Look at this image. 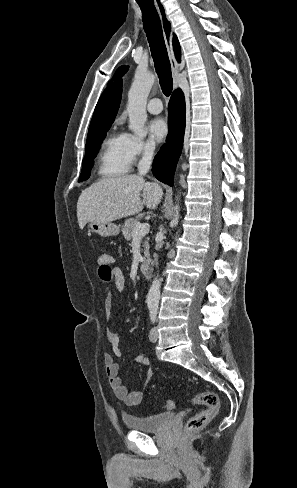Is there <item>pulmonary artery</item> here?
Returning <instances> with one entry per match:
<instances>
[{"label": "pulmonary artery", "instance_id": "1", "mask_svg": "<svg viewBox=\"0 0 297 488\" xmlns=\"http://www.w3.org/2000/svg\"><path fill=\"white\" fill-rule=\"evenodd\" d=\"M147 110L151 114H159L163 110L162 103L158 98H152L147 103Z\"/></svg>", "mask_w": 297, "mask_h": 488}]
</instances>
